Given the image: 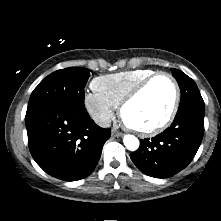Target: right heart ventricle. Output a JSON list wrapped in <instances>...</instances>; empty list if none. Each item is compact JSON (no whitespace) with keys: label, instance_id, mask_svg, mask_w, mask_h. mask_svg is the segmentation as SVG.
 <instances>
[{"label":"right heart ventricle","instance_id":"1","mask_svg":"<svg viewBox=\"0 0 221 221\" xmlns=\"http://www.w3.org/2000/svg\"><path fill=\"white\" fill-rule=\"evenodd\" d=\"M151 69H134L102 75L92 81V89L114 107L143 79L153 74Z\"/></svg>","mask_w":221,"mask_h":221}]
</instances>
